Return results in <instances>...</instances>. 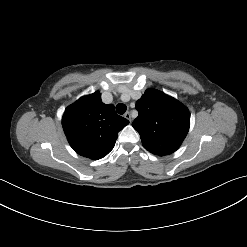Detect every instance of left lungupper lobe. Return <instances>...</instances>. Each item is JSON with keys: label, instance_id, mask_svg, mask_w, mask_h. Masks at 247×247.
<instances>
[{"label": "left lung upper lobe", "instance_id": "left-lung-upper-lobe-1", "mask_svg": "<svg viewBox=\"0 0 247 247\" xmlns=\"http://www.w3.org/2000/svg\"><path fill=\"white\" fill-rule=\"evenodd\" d=\"M136 109L138 117L132 126L145 149L163 156L180 147L190 125V114L183 104L161 91L147 89L136 102Z\"/></svg>", "mask_w": 247, "mask_h": 247}]
</instances>
